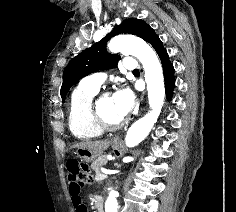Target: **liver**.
Instances as JSON below:
<instances>
[{
    "label": "liver",
    "instance_id": "6515ba94",
    "mask_svg": "<svg viewBox=\"0 0 236 212\" xmlns=\"http://www.w3.org/2000/svg\"><path fill=\"white\" fill-rule=\"evenodd\" d=\"M110 145L109 140H97V141H83L73 145V148H85L92 151L95 154H101Z\"/></svg>",
    "mask_w": 236,
    "mask_h": 212
}]
</instances>
